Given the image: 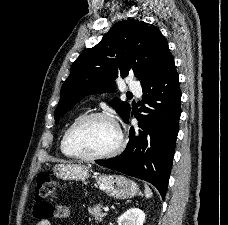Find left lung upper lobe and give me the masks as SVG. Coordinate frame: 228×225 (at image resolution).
<instances>
[{
    "mask_svg": "<svg viewBox=\"0 0 228 225\" xmlns=\"http://www.w3.org/2000/svg\"><path fill=\"white\" fill-rule=\"evenodd\" d=\"M168 42L155 26L128 19L115 24L93 48L80 54L61 88L54 117L59 119L83 97L114 90V80L129 72L141 80H151L170 55ZM110 104L125 121L131 107L114 98Z\"/></svg>",
    "mask_w": 228,
    "mask_h": 225,
    "instance_id": "5c2ea615",
    "label": "left lung upper lobe"
}]
</instances>
